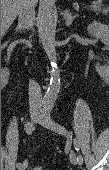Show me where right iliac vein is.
<instances>
[{
	"label": "right iliac vein",
	"instance_id": "63e3f726",
	"mask_svg": "<svg viewBox=\"0 0 109 170\" xmlns=\"http://www.w3.org/2000/svg\"><path fill=\"white\" fill-rule=\"evenodd\" d=\"M30 117H31V120H32L33 122H35V121L38 119V117H39V112H38L36 109H32V110L30 111ZM27 165H28V162L25 160V161L22 163V165L18 167V170H26Z\"/></svg>",
	"mask_w": 109,
	"mask_h": 170
}]
</instances>
